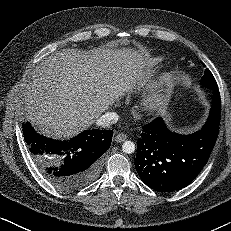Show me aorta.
<instances>
[{"label":"aorta","mask_w":231,"mask_h":231,"mask_svg":"<svg viewBox=\"0 0 231 231\" xmlns=\"http://www.w3.org/2000/svg\"><path fill=\"white\" fill-rule=\"evenodd\" d=\"M122 150L126 154H132L135 151V144L132 141H125L122 145Z\"/></svg>","instance_id":"762f6f07"}]
</instances>
